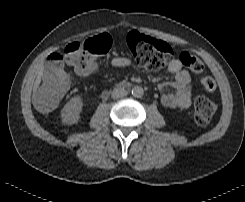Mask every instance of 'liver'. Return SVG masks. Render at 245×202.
<instances>
[{
  "label": "liver",
  "instance_id": "obj_1",
  "mask_svg": "<svg viewBox=\"0 0 245 202\" xmlns=\"http://www.w3.org/2000/svg\"><path fill=\"white\" fill-rule=\"evenodd\" d=\"M41 76H42V67L40 68L37 80H36V86H38L40 84L41 81Z\"/></svg>",
  "mask_w": 245,
  "mask_h": 202
}]
</instances>
